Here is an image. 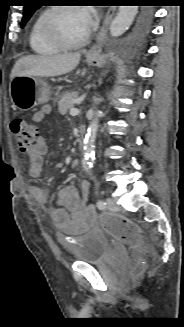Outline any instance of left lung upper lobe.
I'll use <instances>...</instances> for the list:
<instances>
[{
  "instance_id": "5c2ea615",
  "label": "left lung upper lobe",
  "mask_w": 184,
  "mask_h": 327,
  "mask_svg": "<svg viewBox=\"0 0 184 327\" xmlns=\"http://www.w3.org/2000/svg\"><path fill=\"white\" fill-rule=\"evenodd\" d=\"M26 5L24 6L23 19L21 22V27L23 28L26 22L30 19L35 10H37L39 5V0H26Z\"/></svg>"
}]
</instances>
